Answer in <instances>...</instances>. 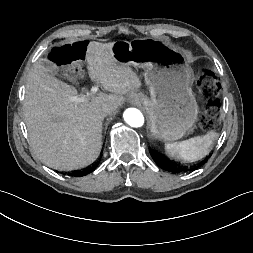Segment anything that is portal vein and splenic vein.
Here are the masks:
<instances>
[{
	"label": "portal vein and splenic vein",
	"mask_w": 253,
	"mask_h": 253,
	"mask_svg": "<svg viewBox=\"0 0 253 253\" xmlns=\"http://www.w3.org/2000/svg\"><path fill=\"white\" fill-rule=\"evenodd\" d=\"M98 90H99L98 86L92 87L91 92H90V95L96 94V93L98 92ZM73 100H74L75 102L81 103V102H84V101H86V100H88V99H87V95H81V96H79V97H74Z\"/></svg>",
	"instance_id": "1"
}]
</instances>
